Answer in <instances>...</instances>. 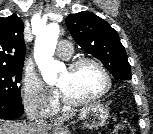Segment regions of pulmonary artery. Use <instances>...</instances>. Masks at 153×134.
<instances>
[{
	"mask_svg": "<svg viewBox=\"0 0 153 134\" xmlns=\"http://www.w3.org/2000/svg\"><path fill=\"white\" fill-rule=\"evenodd\" d=\"M56 53L63 59H69L73 53L72 45L69 41L62 40L58 43Z\"/></svg>",
	"mask_w": 153,
	"mask_h": 134,
	"instance_id": "1",
	"label": "pulmonary artery"
}]
</instances>
